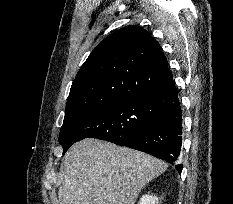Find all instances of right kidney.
Returning a JSON list of instances; mask_svg holds the SVG:
<instances>
[{
    "mask_svg": "<svg viewBox=\"0 0 233 204\" xmlns=\"http://www.w3.org/2000/svg\"><path fill=\"white\" fill-rule=\"evenodd\" d=\"M138 204H158V198L155 195H143Z\"/></svg>",
    "mask_w": 233,
    "mask_h": 204,
    "instance_id": "ca27d5eb",
    "label": "right kidney"
}]
</instances>
